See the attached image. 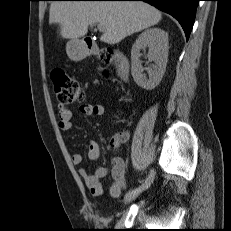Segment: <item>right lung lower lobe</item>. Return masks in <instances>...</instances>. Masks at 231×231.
Listing matches in <instances>:
<instances>
[{"label":"right lung lower lobe","instance_id":"98d812e1","mask_svg":"<svg viewBox=\"0 0 231 231\" xmlns=\"http://www.w3.org/2000/svg\"><path fill=\"white\" fill-rule=\"evenodd\" d=\"M97 1V0H96ZM98 1H145L173 16L182 26L188 40L192 30L196 8L200 0H98Z\"/></svg>","mask_w":231,"mask_h":231}]
</instances>
